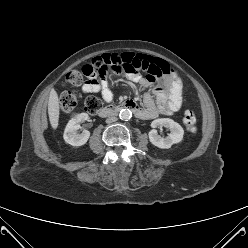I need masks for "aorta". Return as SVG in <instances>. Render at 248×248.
Segmentation results:
<instances>
[{
  "label": "aorta",
  "instance_id": "762f6f07",
  "mask_svg": "<svg viewBox=\"0 0 248 248\" xmlns=\"http://www.w3.org/2000/svg\"><path fill=\"white\" fill-rule=\"evenodd\" d=\"M121 120H129L132 117V112L130 109H122L119 113Z\"/></svg>",
  "mask_w": 248,
  "mask_h": 248
}]
</instances>
